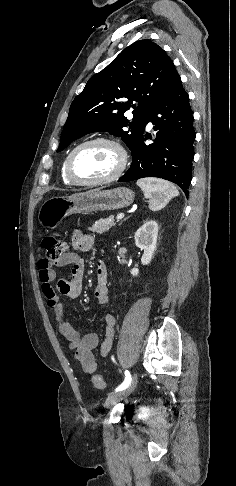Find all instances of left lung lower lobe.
<instances>
[{"mask_svg": "<svg viewBox=\"0 0 236 486\" xmlns=\"http://www.w3.org/2000/svg\"><path fill=\"white\" fill-rule=\"evenodd\" d=\"M149 121L157 132L154 143H144L151 138L147 135L137 140L132 149V164L118 181L159 177L176 183L188 196L196 133L189 95L180 77L152 104L146 123Z\"/></svg>", "mask_w": 236, "mask_h": 486, "instance_id": "obj_1", "label": "left lung lower lobe"}]
</instances>
